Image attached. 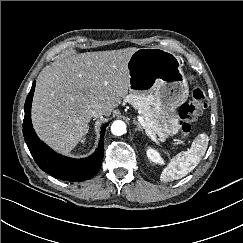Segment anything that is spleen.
I'll return each instance as SVG.
<instances>
[{
    "instance_id": "obj_1",
    "label": "spleen",
    "mask_w": 243,
    "mask_h": 243,
    "mask_svg": "<svg viewBox=\"0 0 243 243\" xmlns=\"http://www.w3.org/2000/svg\"><path fill=\"white\" fill-rule=\"evenodd\" d=\"M209 138L205 133L200 134L192 142L191 148L180 152L172 158L160 175L162 182L180 179L190 173L204 156Z\"/></svg>"
}]
</instances>
